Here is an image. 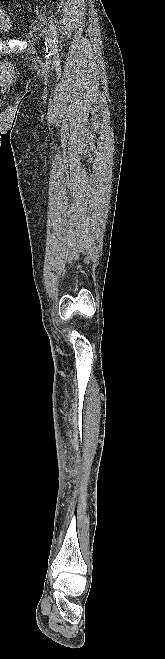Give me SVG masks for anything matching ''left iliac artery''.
I'll return each mask as SVG.
<instances>
[{"mask_svg":"<svg viewBox=\"0 0 165 659\" xmlns=\"http://www.w3.org/2000/svg\"><path fill=\"white\" fill-rule=\"evenodd\" d=\"M49 27H50L51 35H52V37H53V39H54V42H57V28H56V26H55V24H54V22H53L52 19H50V25H49Z\"/></svg>","mask_w":165,"mask_h":659,"instance_id":"left-iliac-artery-1","label":"left iliac artery"}]
</instances>
